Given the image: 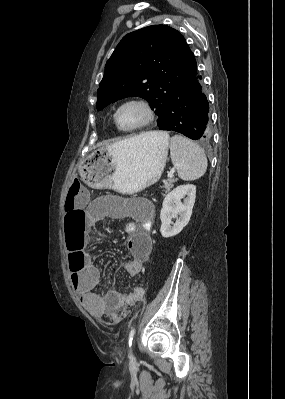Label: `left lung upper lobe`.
Here are the masks:
<instances>
[{
    "label": "left lung upper lobe",
    "instance_id": "5c2ea615",
    "mask_svg": "<svg viewBox=\"0 0 285 399\" xmlns=\"http://www.w3.org/2000/svg\"><path fill=\"white\" fill-rule=\"evenodd\" d=\"M196 70L194 55L179 31L153 25L131 32L106 62L97 110L128 96H140L155 109L160 127L174 91Z\"/></svg>",
    "mask_w": 285,
    "mask_h": 399
}]
</instances>
